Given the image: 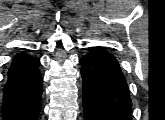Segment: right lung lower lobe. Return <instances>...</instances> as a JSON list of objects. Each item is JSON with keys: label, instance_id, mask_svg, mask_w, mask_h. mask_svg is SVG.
Instances as JSON below:
<instances>
[{"label": "right lung lower lobe", "instance_id": "right-lung-lower-lobe-1", "mask_svg": "<svg viewBox=\"0 0 165 120\" xmlns=\"http://www.w3.org/2000/svg\"><path fill=\"white\" fill-rule=\"evenodd\" d=\"M39 65L26 53L14 57L3 89L2 120H38L43 92Z\"/></svg>", "mask_w": 165, "mask_h": 120}]
</instances>
